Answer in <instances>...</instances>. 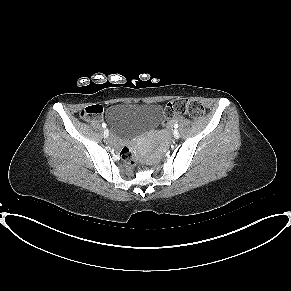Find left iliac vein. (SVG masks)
Instances as JSON below:
<instances>
[{"instance_id": "4c4485c4", "label": "left iliac vein", "mask_w": 291, "mask_h": 291, "mask_svg": "<svg viewBox=\"0 0 291 291\" xmlns=\"http://www.w3.org/2000/svg\"><path fill=\"white\" fill-rule=\"evenodd\" d=\"M179 132H178V130H174V137L176 138V139H178L179 138Z\"/></svg>"}]
</instances>
